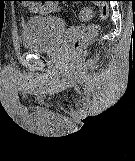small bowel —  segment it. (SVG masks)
Wrapping results in <instances>:
<instances>
[{"instance_id":"obj_1","label":"small bowel","mask_w":135,"mask_h":161,"mask_svg":"<svg viewBox=\"0 0 135 161\" xmlns=\"http://www.w3.org/2000/svg\"><path fill=\"white\" fill-rule=\"evenodd\" d=\"M26 3V6L34 12L49 13L56 9V5L49 2L35 4L33 1H26Z\"/></svg>"}]
</instances>
